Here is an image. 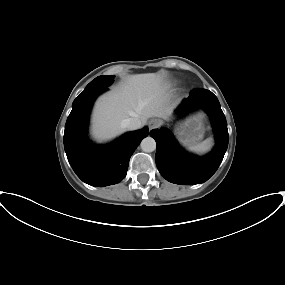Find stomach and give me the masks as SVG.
<instances>
[{
    "instance_id": "0dacf381",
    "label": "stomach",
    "mask_w": 285,
    "mask_h": 285,
    "mask_svg": "<svg viewBox=\"0 0 285 285\" xmlns=\"http://www.w3.org/2000/svg\"><path fill=\"white\" fill-rule=\"evenodd\" d=\"M178 140L185 146L198 144L204 135L202 114H196L175 127Z\"/></svg>"
}]
</instances>
